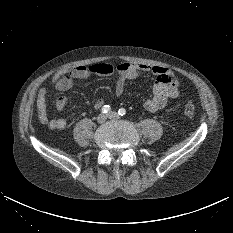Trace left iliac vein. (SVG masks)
I'll list each match as a JSON object with an SVG mask.
<instances>
[{"mask_svg": "<svg viewBox=\"0 0 233 233\" xmlns=\"http://www.w3.org/2000/svg\"><path fill=\"white\" fill-rule=\"evenodd\" d=\"M107 116H108V118H110V119H118V118H119L118 113H117V112H114V111L109 112Z\"/></svg>", "mask_w": 233, "mask_h": 233, "instance_id": "1", "label": "left iliac vein"}]
</instances>
